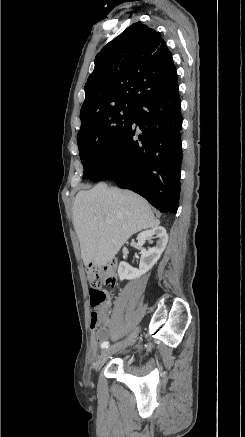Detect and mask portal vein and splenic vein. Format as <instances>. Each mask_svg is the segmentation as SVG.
Here are the masks:
<instances>
[{
	"label": "portal vein and splenic vein",
	"mask_w": 245,
	"mask_h": 437,
	"mask_svg": "<svg viewBox=\"0 0 245 437\" xmlns=\"http://www.w3.org/2000/svg\"><path fill=\"white\" fill-rule=\"evenodd\" d=\"M111 221L109 219L106 220V223H110Z\"/></svg>",
	"instance_id": "portal-vein-and-splenic-vein-1"
}]
</instances>
